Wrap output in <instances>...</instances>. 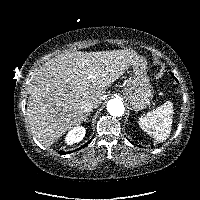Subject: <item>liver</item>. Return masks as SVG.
I'll use <instances>...</instances> for the list:
<instances>
[{
  "label": "liver",
  "mask_w": 200,
  "mask_h": 200,
  "mask_svg": "<svg viewBox=\"0 0 200 200\" xmlns=\"http://www.w3.org/2000/svg\"><path fill=\"white\" fill-rule=\"evenodd\" d=\"M140 59L134 50L66 51L47 61L34 74L26 115L34 137L51 146L81 124L82 103L97 108L105 90Z\"/></svg>",
  "instance_id": "6515ba94"
}]
</instances>
